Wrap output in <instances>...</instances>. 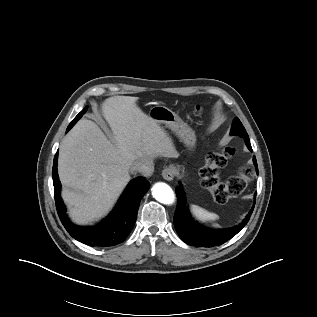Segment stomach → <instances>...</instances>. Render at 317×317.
Instances as JSON below:
<instances>
[{
  "label": "stomach",
  "instance_id": "stomach-1",
  "mask_svg": "<svg viewBox=\"0 0 317 317\" xmlns=\"http://www.w3.org/2000/svg\"><path fill=\"white\" fill-rule=\"evenodd\" d=\"M149 116L156 123L165 125L166 128L176 133L181 142L189 149L194 148L196 143L195 132L171 109L163 105H156L150 109ZM172 168L176 173L180 171V166L178 165L172 166Z\"/></svg>",
  "mask_w": 317,
  "mask_h": 317
}]
</instances>
